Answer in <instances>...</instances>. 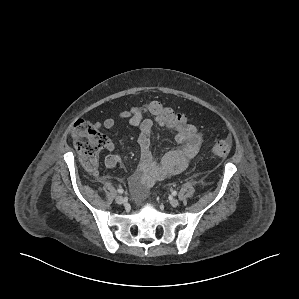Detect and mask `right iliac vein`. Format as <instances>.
<instances>
[{"instance_id": "right-iliac-vein-1", "label": "right iliac vein", "mask_w": 299, "mask_h": 299, "mask_svg": "<svg viewBox=\"0 0 299 299\" xmlns=\"http://www.w3.org/2000/svg\"><path fill=\"white\" fill-rule=\"evenodd\" d=\"M115 201H116V203H118V204H123V203L125 202V199H124V197H122V196H117V197L115 198Z\"/></svg>"}]
</instances>
